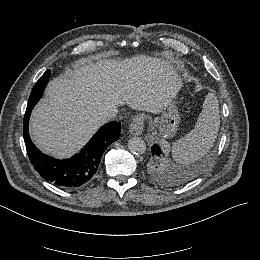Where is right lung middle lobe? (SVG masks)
Here are the masks:
<instances>
[{
    "instance_id": "dd1d6c3e",
    "label": "right lung middle lobe",
    "mask_w": 260,
    "mask_h": 260,
    "mask_svg": "<svg viewBox=\"0 0 260 260\" xmlns=\"http://www.w3.org/2000/svg\"><path fill=\"white\" fill-rule=\"evenodd\" d=\"M45 74L50 75V70H47V71L45 72ZM33 91H34V90H32V92H33ZM32 92H31V95H30V97H29V102H30V103L34 102V101H33V98H35V95H34ZM37 101H38V99H37ZM37 101H35V103H36Z\"/></svg>"
}]
</instances>
